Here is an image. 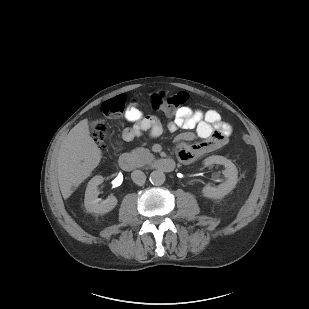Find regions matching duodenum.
<instances>
[{"label": "duodenum", "mask_w": 309, "mask_h": 309, "mask_svg": "<svg viewBox=\"0 0 309 309\" xmlns=\"http://www.w3.org/2000/svg\"><path fill=\"white\" fill-rule=\"evenodd\" d=\"M118 163H119V166L125 171H131L135 169L136 167L133 157L126 153L120 155L118 159ZM152 166L157 171L167 173V172H171L174 169L175 164L173 160L164 158V159L155 160Z\"/></svg>", "instance_id": "obj_1"}]
</instances>
